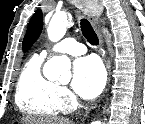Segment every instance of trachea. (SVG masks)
<instances>
[{"mask_svg":"<svg viewBox=\"0 0 145 124\" xmlns=\"http://www.w3.org/2000/svg\"><path fill=\"white\" fill-rule=\"evenodd\" d=\"M80 25H81L82 34L87 39V41L92 45H98L99 40L97 34L93 30L90 22L87 19L83 18L80 21Z\"/></svg>","mask_w":145,"mask_h":124,"instance_id":"1","label":"trachea"}]
</instances>
